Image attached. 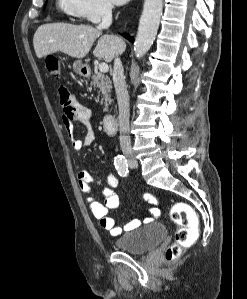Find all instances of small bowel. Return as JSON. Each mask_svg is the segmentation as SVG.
Instances as JSON below:
<instances>
[{
    "label": "small bowel",
    "mask_w": 247,
    "mask_h": 299,
    "mask_svg": "<svg viewBox=\"0 0 247 299\" xmlns=\"http://www.w3.org/2000/svg\"><path fill=\"white\" fill-rule=\"evenodd\" d=\"M59 98L62 105V122L68 133L72 148L75 152H81L85 147L91 145L95 140V134L91 125L92 111L88 107L81 104L69 90L63 86L59 88ZM75 123H79L84 127L83 138H78L75 135ZM78 186L86 201L93 216L99 221L102 228L108 231L112 236H119L122 233V228L117 222L109 216L111 210L119 206V196L115 189L119 185L118 177L110 172L107 174L103 182L95 179L88 171L82 170L78 172ZM97 182L102 185V193L104 201L99 202L92 196V183ZM143 200L152 205L149 208L151 217L145 219V222H152L160 214L157 206V199L151 194H144ZM141 225L139 219H133L124 226V230L130 231Z\"/></svg>",
    "instance_id": "obj_1"
}]
</instances>
